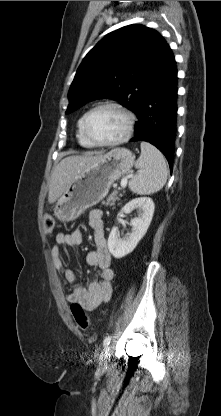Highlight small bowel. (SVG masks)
Here are the masks:
<instances>
[{
	"label": "small bowel",
	"mask_w": 221,
	"mask_h": 416,
	"mask_svg": "<svg viewBox=\"0 0 221 416\" xmlns=\"http://www.w3.org/2000/svg\"><path fill=\"white\" fill-rule=\"evenodd\" d=\"M89 225L93 230L95 249L88 252L86 262L89 266L98 269L99 277L93 278L87 286L80 284L77 274L65 268L60 246H79L84 238L80 230L70 233H58L57 245L51 249V259L57 273L59 286L63 289L65 283L73 285L72 291L66 295L69 303H79L84 310L92 311L112 298V281L114 270L111 266V255L108 251L104 234L103 214L100 210L89 213Z\"/></svg>",
	"instance_id": "c3829d8e"
}]
</instances>
